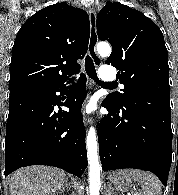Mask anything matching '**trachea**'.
Segmentation results:
<instances>
[{"mask_svg": "<svg viewBox=\"0 0 178 195\" xmlns=\"http://www.w3.org/2000/svg\"><path fill=\"white\" fill-rule=\"evenodd\" d=\"M85 70H86L87 75H88L91 79L95 80L98 84H100V85H102V86H105V87H109V88H113V87H114L113 84H106V83H104V82H101V81L98 79L97 73H96V70H95V67H94V64H93V61H92V59H91L89 56H87V57L85 58ZM71 80H74V79H71ZM71 80H70V81H71Z\"/></svg>", "mask_w": 178, "mask_h": 195, "instance_id": "3493384b", "label": "trachea"}]
</instances>
